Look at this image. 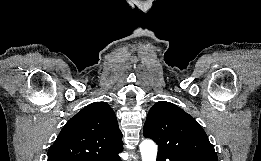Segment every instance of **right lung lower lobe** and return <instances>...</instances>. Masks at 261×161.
I'll use <instances>...</instances> for the list:
<instances>
[{
    "mask_svg": "<svg viewBox=\"0 0 261 161\" xmlns=\"http://www.w3.org/2000/svg\"><path fill=\"white\" fill-rule=\"evenodd\" d=\"M120 151H116V152H111L108 154H104L101 156H98L96 158H89V159H84L81 161H120L119 157H118V153L121 152Z\"/></svg>",
    "mask_w": 261,
    "mask_h": 161,
    "instance_id": "obj_1",
    "label": "right lung lower lobe"
}]
</instances>
